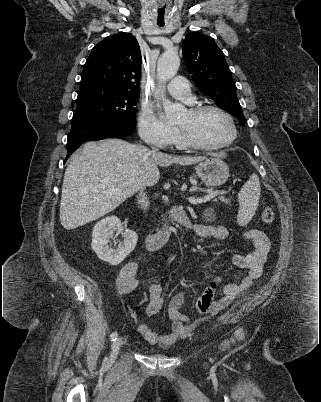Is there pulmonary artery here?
<instances>
[{
    "label": "pulmonary artery",
    "instance_id": "pulmonary-artery-1",
    "mask_svg": "<svg viewBox=\"0 0 321 402\" xmlns=\"http://www.w3.org/2000/svg\"><path fill=\"white\" fill-rule=\"evenodd\" d=\"M167 91L172 96L182 99L187 103L194 101L188 81L183 77L178 76L173 78L167 85Z\"/></svg>",
    "mask_w": 321,
    "mask_h": 402
}]
</instances>
